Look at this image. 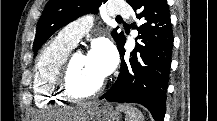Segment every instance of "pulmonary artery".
Instances as JSON below:
<instances>
[{
	"label": "pulmonary artery",
	"mask_w": 217,
	"mask_h": 121,
	"mask_svg": "<svg viewBox=\"0 0 217 121\" xmlns=\"http://www.w3.org/2000/svg\"><path fill=\"white\" fill-rule=\"evenodd\" d=\"M111 16L128 17L130 8L125 5H111ZM93 19L91 16H84L65 26L60 32L59 37L63 40L76 45L78 41L92 28Z\"/></svg>",
	"instance_id": "e3ab8cb5"
}]
</instances>
